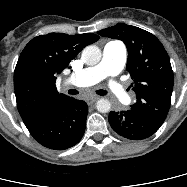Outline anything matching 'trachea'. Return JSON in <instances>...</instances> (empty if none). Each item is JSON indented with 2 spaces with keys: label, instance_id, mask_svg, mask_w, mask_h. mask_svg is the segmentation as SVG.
Returning a JSON list of instances; mask_svg holds the SVG:
<instances>
[{
  "label": "trachea",
  "instance_id": "3493384b",
  "mask_svg": "<svg viewBox=\"0 0 187 187\" xmlns=\"http://www.w3.org/2000/svg\"><path fill=\"white\" fill-rule=\"evenodd\" d=\"M68 93L71 94V95H75V94H78L79 92L76 89H70L68 91ZM96 93L98 95H106L107 91L106 90H97Z\"/></svg>",
  "mask_w": 187,
  "mask_h": 187
}]
</instances>
